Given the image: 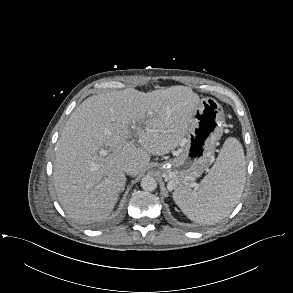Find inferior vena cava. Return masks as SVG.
Here are the masks:
<instances>
[{
	"mask_svg": "<svg viewBox=\"0 0 293 293\" xmlns=\"http://www.w3.org/2000/svg\"><path fill=\"white\" fill-rule=\"evenodd\" d=\"M123 170L127 174H133V172L135 171V166L132 163H128L123 167Z\"/></svg>",
	"mask_w": 293,
	"mask_h": 293,
	"instance_id": "1",
	"label": "inferior vena cava"
}]
</instances>
